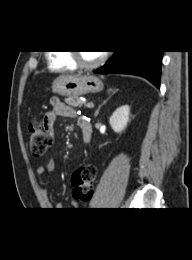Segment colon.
<instances>
[{
  "mask_svg": "<svg viewBox=\"0 0 192 260\" xmlns=\"http://www.w3.org/2000/svg\"><path fill=\"white\" fill-rule=\"evenodd\" d=\"M30 136V150L36 157L43 156L52 143V137L43 123L36 120L28 126ZM96 168L87 164L77 168L72 175L73 196L77 200L91 199L96 180Z\"/></svg>",
  "mask_w": 192,
  "mask_h": 260,
  "instance_id": "5ec220e1",
  "label": "colon"
}]
</instances>
